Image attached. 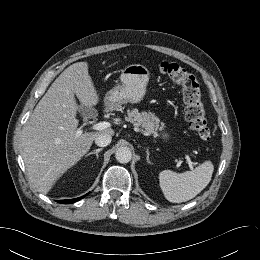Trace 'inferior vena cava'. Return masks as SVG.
<instances>
[{
	"label": "inferior vena cava",
	"instance_id": "602c4592",
	"mask_svg": "<svg viewBox=\"0 0 260 260\" xmlns=\"http://www.w3.org/2000/svg\"><path fill=\"white\" fill-rule=\"evenodd\" d=\"M112 136L108 133H100L95 138V143L97 146L105 147L111 143Z\"/></svg>",
	"mask_w": 260,
	"mask_h": 260
}]
</instances>
